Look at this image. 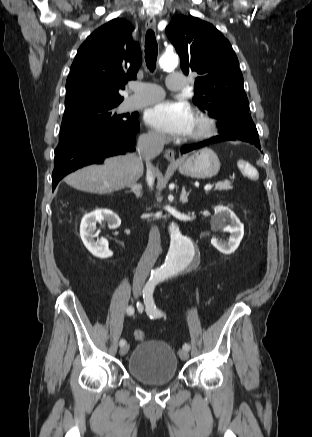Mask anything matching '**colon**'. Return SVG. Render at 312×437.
<instances>
[{"label":"colon","instance_id":"colon-1","mask_svg":"<svg viewBox=\"0 0 312 437\" xmlns=\"http://www.w3.org/2000/svg\"><path fill=\"white\" fill-rule=\"evenodd\" d=\"M134 338L137 341H144L145 340V332L143 330H136L134 332Z\"/></svg>","mask_w":312,"mask_h":437}]
</instances>
